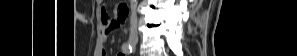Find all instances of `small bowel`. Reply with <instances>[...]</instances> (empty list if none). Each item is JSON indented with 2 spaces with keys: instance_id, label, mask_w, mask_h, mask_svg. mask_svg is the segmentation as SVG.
I'll list each match as a JSON object with an SVG mask.
<instances>
[{
  "instance_id": "small-bowel-1",
  "label": "small bowel",
  "mask_w": 297,
  "mask_h": 56,
  "mask_svg": "<svg viewBox=\"0 0 297 56\" xmlns=\"http://www.w3.org/2000/svg\"><path fill=\"white\" fill-rule=\"evenodd\" d=\"M127 13V9L124 6H119L115 10L113 18H110L105 8H101V25L99 27V33L96 41V47L94 50V56L107 55L105 43L107 41L108 34L111 30L116 29L126 19ZM118 56H124V54L119 53Z\"/></svg>"
}]
</instances>
